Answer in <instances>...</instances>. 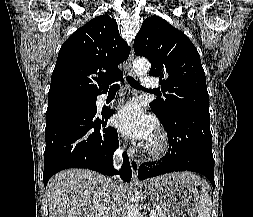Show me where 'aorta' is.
<instances>
[{"instance_id":"1","label":"aorta","mask_w":253,"mask_h":217,"mask_svg":"<svg viewBox=\"0 0 253 217\" xmlns=\"http://www.w3.org/2000/svg\"><path fill=\"white\" fill-rule=\"evenodd\" d=\"M150 62L147 59L139 58L133 63V69L137 75H145L150 70ZM131 205L128 208L126 217H139V209L136 197H131Z\"/></svg>"}]
</instances>
